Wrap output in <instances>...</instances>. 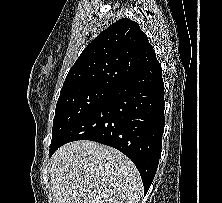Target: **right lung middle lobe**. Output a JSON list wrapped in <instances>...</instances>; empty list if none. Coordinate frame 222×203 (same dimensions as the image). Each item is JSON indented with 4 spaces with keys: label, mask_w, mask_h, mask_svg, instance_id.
<instances>
[{
    "label": "right lung middle lobe",
    "mask_w": 222,
    "mask_h": 203,
    "mask_svg": "<svg viewBox=\"0 0 222 203\" xmlns=\"http://www.w3.org/2000/svg\"><path fill=\"white\" fill-rule=\"evenodd\" d=\"M111 91L99 86L61 89L53 120L51 145L74 122L104 101Z\"/></svg>",
    "instance_id": "right-lung-middle-lobe-1"
}]
</instances>
